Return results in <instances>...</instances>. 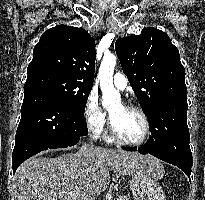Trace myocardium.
Here are the masks:
<instances>
[{"mask_svg":"<svg viewBox=\"0 0 205 200\" xmlns=\"http://www.w3.org/2000/svg\"><path fill=\"white\" fill-rule=\"evenodd\" d=\"M123 107L127 110H130V111H134L136 112L137 114L140 115V117L142 118L143 120V123H144V133L142 135V137L137 140V141H129V140H126L124 139L115 129L114 125H113V122L110 118V132H111V136L112 138L122 144V145H126V146H140L142 144H144L149 136H150V133H151V124H150V121H149V118L148 116L146 115V113L143 111L142 108H140L139 106L137 105H134V104H131V103H125L123 104Z\"/></svg>","mask_w":205,"mask_h":200,"instance_id":"myocardium-1","label":"myocardium"}]
</instances>
